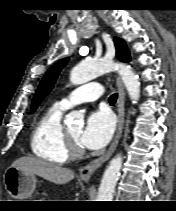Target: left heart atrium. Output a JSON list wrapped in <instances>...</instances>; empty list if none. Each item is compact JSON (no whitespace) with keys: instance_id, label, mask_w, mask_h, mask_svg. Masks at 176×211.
I'll return each mask as SVG.
<instances>
[{"instance_id":"left-heart-atrium-1","label":"left heart atrium","mask_w":176,"mask_h":211,"mask_svg":"<svg viewBox=\"0 0 176 211\" xmlns=\"http://www.w3.org/2000/svg\"><path fill=\"white\" fill-rule=\"evenodd\" d=\"M114 132V120L106 110L93 112L87 119L79 142L89 149L103 148L110 141Z\"/></svg>"}]
</instances>
